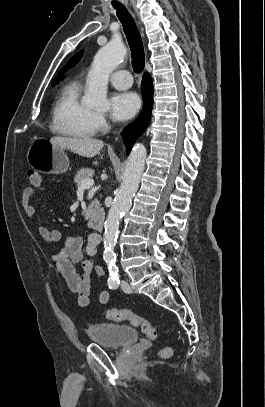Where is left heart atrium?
Returning a JSON list of instances; mask_svg holds the SVG:
<instances>
[{
  "mask_svg": "<svg viewBox=\"0 0 265 407\" xmlns=\"http://www.w3.org/2000/svg\"><path fill=\"white\" fill-rule=\"evenodd\" d=\"M140 107L139 97L133 92H116L110 99L112 117L117 121L132 118Z\"/></svg>",
  "mask_w": 265,
  "mask_h": 407,
  "instance_id": "39dd6f15",
  "label": "left heart atrium"
}]
</instances>
